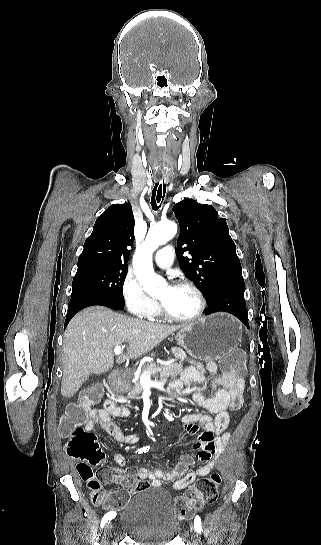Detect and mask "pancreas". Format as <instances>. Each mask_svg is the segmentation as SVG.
<instances>
[{
	"label": "pancreas",
	"instance_id": "pancreas-1",
	"mask_svg": "<svg viewBox=\"0 0 321 545\" xmlns=\"http://www.w3.org/2000/svg\"><path fill=\"white\" fill-rule=\"evenodd\" d=\"M164 363H168V365H164ZM144 371H148L150 375H157V373H160V379H176L180 373L183 371V363H169V361H163V363H149V365H144L142 369V373ZM129 373H132V371H124V375H129ZM155 383H159L157 381V377H155ZM143 387L140 383V381H136V383H133L132 391H130L131 395H138V393H141Z\"/></svg>",
	"mask_w": 321,
	"mask_h": 545
}]
</instances>
